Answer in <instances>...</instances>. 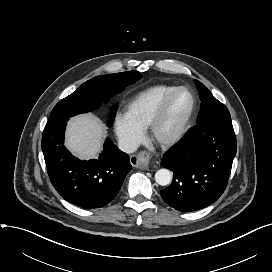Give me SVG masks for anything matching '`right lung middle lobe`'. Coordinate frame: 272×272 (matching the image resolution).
Returning a JSON list of instances; mask_svg holds the SVG:
<instances>
[{"label": "right lung middle lobe", "instance_id": "right-lung-middle-lobe-1", "mask_svg": "<svg viewBox=\"0 0 272 272\" xmlns=\"http://www.w3.org/2000/svg\"><path fill=\"white\" fill-rule=\"evenodd\" d=\"M140 78L142 75L137 71L96 76L59 101L53 108L48 123L92 111L101 104L102 100H107L122 92L128 85H132ZM116 109L117 107L114 106L111 121Z\"/></svg>", "mask_w": 272, "mask_h": 272}]
</instances>
